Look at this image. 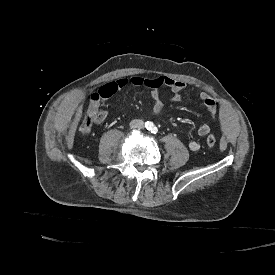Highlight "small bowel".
<instances>
[{
    "label": "small bowel",
    "instance_id": "obj_1",
    "mask_svg": "<svg viewBox=\"0 0 275 275\" xmlns=\"http://www.w3.org/2000/svg\"><path fill=\"white\" fill-rule=\"evenodd\" d=\"M153 81H160L159 86L165 85V86H168L169 88H171V90L173 92V95L171 97L172 101L178 102L181 100V92L185 89V83H183L182 81L167 78V77L162 78V79L147 80V79H143L142 77H139V76H134V77L130 78L129 80H127L125 78H119L115 81L105 83L104 85H102L99 88L97 93H95L92 96V99H93V101H97L100 98L109 97V96L117 93L124 87H126L128 84L135 86V87L146 86L151 89V98L153 101L152 113L154 115H158L163 110L164 102H163V97L157 88L159 86H153L152 85ZM199 99L201 100V102L203 103L205 108L207 109L210 118L215 119L217 116V103H216L215 99L206 92H201L199 94ZM210 130H211L210 126L207 123H203L198 127L197 133L199 136L204 137L210 133ZM189 148L192 151L198 150V148H199L198 142L191 141L189 143Z\"/></svg>",
    "mask_w": 275,
    "mask_h": 275
}]
</instances>
